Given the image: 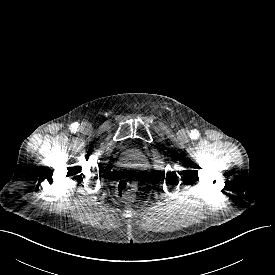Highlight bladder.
<instances>
[{
    "label": "bladder",
    "instance_id": "bladder-1",
    "mask_svg": "<svg viewBox=\"0 0 275 275\" xmlns=\"http://www.w3.org/2000/svg\"><path fill=\"white\" fill-rule=\"evenodd\" d=\"M116 168L119 174L124 178H139L144 174L147 168L146 156L142 151L136 148L124 149L117 156Z\"/></svg>",
    "mask_w": 275,
    "mask_h": 275
}]
</instances>
